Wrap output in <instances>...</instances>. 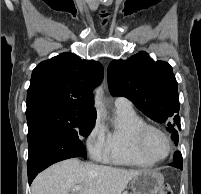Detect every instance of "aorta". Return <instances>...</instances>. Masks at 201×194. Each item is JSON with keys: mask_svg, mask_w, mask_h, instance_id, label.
I'll return each instance as SVG.
<instances>
[{"mask_svg": "<svg viewBox=\"0 0 201 194\" xmlns=\"http://www.w3.org/2000/svg\"><path fill=\"white\" fill-rule=\"evenodd\" d=\"M95 93H96V98H95V103H96V107H101V101H100V98H99V93H100V89L98 88V89H96V91H95Z\"/></svg>", "mask_w": 201, "mask_h": 194, "instance_id": "762f6f07", "label": "aorta"}]
</instances>
